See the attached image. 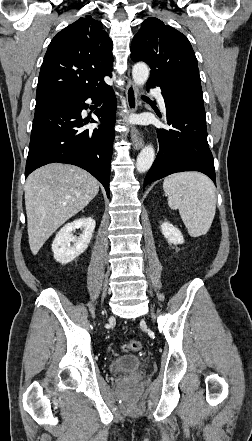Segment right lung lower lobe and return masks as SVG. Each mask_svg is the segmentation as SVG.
<instances>
[{
    "instance_id": "1",
    "label": "right lung lower lobe",
    "mask_w": 252,
    "mask_h": 441,
    "mask_svg": "<svg viewBox=\"0 0 252 441\" xmlns=\"http://www.w3.org/2000/svg\"><path fill=\"white\" fill-rule=\"evenodd\" d=\"M88 98L103 102L95 111L104 122L98 129H82L81 111L88 108ZM115 111V94L108 85L99 90L58 93L36 102L25 177L48 163L73 164L101 182L109 197Z\"/></svg>"
}]
</instances>
